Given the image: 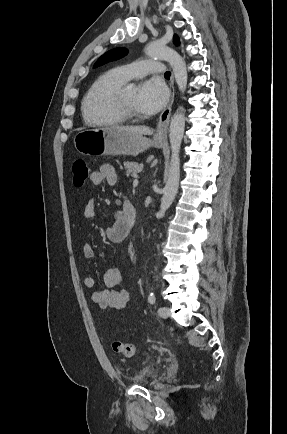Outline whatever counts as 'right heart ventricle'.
Instances as JSON below:
<instances>
[{
	"instance_id": "right-heart-ventricle-1",
	"label": "right heart ventricle",
	"mask_w": 287,
	"mask_h": 434,
	"mask_svg": "<svg viewBox=\"0 0 287 434\" xmlns=\"http://www.w3.org/2000/svg\"><path fill=\"white\" fill-rule=\"evenodd\" d=\"M125 82L118 68L104 72L93 81L81 102L82 116L87 124L116 125L125 121L112 103L115 91Z\"/></svg>"
}]
</instances>
